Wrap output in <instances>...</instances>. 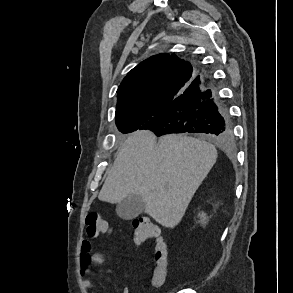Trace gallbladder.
Returning a JSON list of instances; mask_svg holds the SVG:
<instances>
[{
  "label": "gallbladder",
  "mask_w": 293,
  "mask_h": 293,
  "mask_svg": "<svg viewBox=\"0 0 293 293\" xmlns=\"http://www.w3.org/2000/svg\"><path fill=\"white\" fill-rule=\"evenodd\" d=\"M144 200L139 195H129L116 206L117 215L123 220H131L144 210Z\"/></svg>",
  "instance_id": "1"
}]
</instances>
